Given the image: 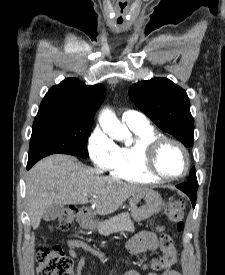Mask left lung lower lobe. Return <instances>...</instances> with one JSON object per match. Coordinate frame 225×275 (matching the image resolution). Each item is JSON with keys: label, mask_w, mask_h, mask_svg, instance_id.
I'll return each mask as SVG.
<instances>
[{"label": "left lung lower lobe", "mask_w": 225, "mask_h": 275, "mask_svg": "<svg viewBox=\"0 0 225 275\" xmlns=\"http://www.w3.org/2000/svg\"><path fill=\"white\" fill-rule=\"evenodd\" d=\"M176 187L189 196L194 208L196 204V192L198 189V184H192L187 182L184 184L177 185Z\"/></svg>", "instance_id": "0a47b994"}]
</instances>
